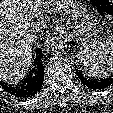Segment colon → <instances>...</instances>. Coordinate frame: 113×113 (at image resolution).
Here are the masks:
<instances>
[{
  "mask_svg": "<svg viewBox=\"0 0 113 113\" xmlns=\"http://www.w3.org/2000/svg\"><path fill=\"white\" fill-rule=\"evenodd\" d=\"M92 4L103 15L113 18V2L111 0H91Z\"/></svg>",
  "mask_w": 113,
  "mask_h": 113,
  "instance_id": "1",
  "label": "colon"
}]
</instances>
